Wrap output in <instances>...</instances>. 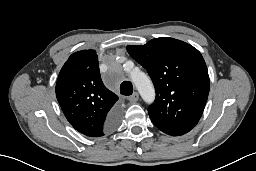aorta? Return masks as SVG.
Instances as JSON below:
<instances>
[{
  "mask_svg": "<svg viewBox=\"0 0 256 171\" xmlns=\"http://www.w3.org/2000/svg\"><path fill=\"white\" fill-rule=\"evenodd\" d=\"M131 80L133 84L136 86L138 92L140 93L141 97L145 102L151 103L154 101L155 99L154 87L145 73L143 72L132 73Z\"/></svg>",
  "mask_w": 256,
  "mask_h": 171,
  "instance_id": "aorta-1",
  "label": "aorta"
}]
</instances>
